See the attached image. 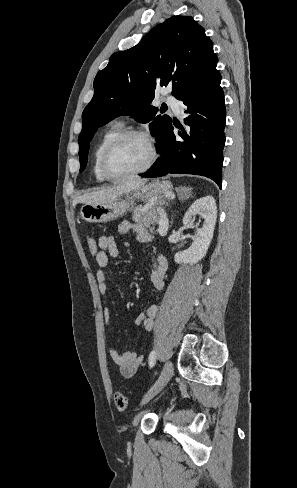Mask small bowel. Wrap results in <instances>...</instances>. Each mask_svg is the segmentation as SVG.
Here are the masks:
<instances>
[{
    "instance_id": "1",
    "label": "small bowel",
    "mask_w": 297,
    "mask_h": 488,
    "mask_svg": "<svg viewBox=\"0 0 297 488\" xmlns=\"http://www.w3.org/2000/svg\"><path fill=\"white\" fill-rule=\"evenodd\" d=\"M118 231L121 234L133 232L136 240L140 243H151L153 241L152 234L141 224L123 221L119 224ZM98 246L99 251L95 255V261L99 267L96 271V280L100 293L106 294L108 291V281L104 269L109 265L110 258L118 257L119 250L114 237L111 235L101 236L98 239ZM167 267V260L163 255H157L151 258L150 281L152 286L157 290H161L165 286ZM158 311L159 307L157 305L148 306L137 317V325L145 331H151L154 327ZM103 314L105 320L108 322L111 317V308L108 305L105 306ZM109 352L123 378L129 379L136 375L143 361L141 354L130 351L119 352L114 347H110Z\"/></svg>"
}]
</instances>
